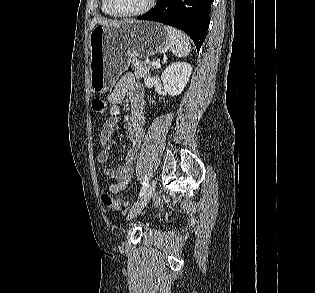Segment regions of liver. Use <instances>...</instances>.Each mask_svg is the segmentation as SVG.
<instances>
[{
	"mask_svg": "<svg viewBox=\"0 0 315 293\" xmlns=\"http://www.w3.org/2000/svg\"><path fill=\"white\" fill-rule=\"evenodd\" d=\"M121 22H118V21H110V20H104V19H101V18H94L92 21H91V24H90V29L93 30L94 27L97 25V24H101V25H116V24H119Z\"/></svg>",
	"mask_w": 315,
	"mask_h": 293,
	"instance_id": "6515ba94",
	"label": "liver"
}]
</instances>
